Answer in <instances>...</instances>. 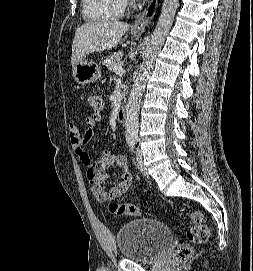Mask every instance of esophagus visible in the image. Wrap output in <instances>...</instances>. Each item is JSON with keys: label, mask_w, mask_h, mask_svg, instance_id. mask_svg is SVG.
<instances>
[{"label": "esophagus", "mask_w": 253, "mask_h": 271, "mask_svg": "<svg viewBox=\"0 0 253 271\" xmlns=\"http://www.w3.org/2000/svg\"><path fill=\"white\" fill-rule=\"evenodd\" d=\"M160 0H150L147 7L136 18L133 29L137 32H145L157 12Z\"/></svg>", "instance_id": "obj_1"}]
</instances>
